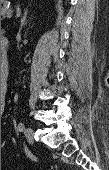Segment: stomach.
I'll list each match as a JSON object with an SVG mask.
<instances>
[{
    "instance_id": "obj_1",
    "label": "stomach",
    "mask_w": 109,
    "mask_h": 170,
    "mask_svg": "<svg viewBox=\"0 0 109 170\" xmlns=\"http://www.w3.org/2000/svg\"><path fill=\"white\" fill-rule=\"evenodd\" d=\"M6 3V0H1V4Z\"/></svg>"
}]
</instances>
